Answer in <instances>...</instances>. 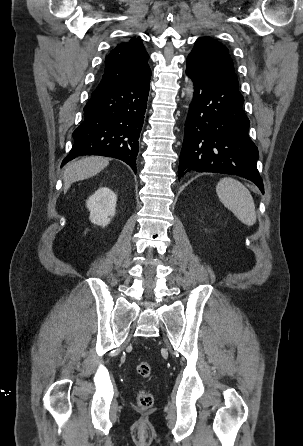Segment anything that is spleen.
<instances>
[{
	"label": "spleen",
	"instance_id": "obj_1",
	"mask_svg": "<svg viewBox=\"0 0 303 446\" xmlns=\"http://www.w3.org/2000/svg\"><path fill=\"white\" fill-rule=\"evenodd\" d=\"M220 201L244 224L252 226L256 222L254 200L250 191L238 180L224 177L217 186Z\"/></svg>",
	"mask_w": 303,
	"mask_h": 446
}]
</instances>
